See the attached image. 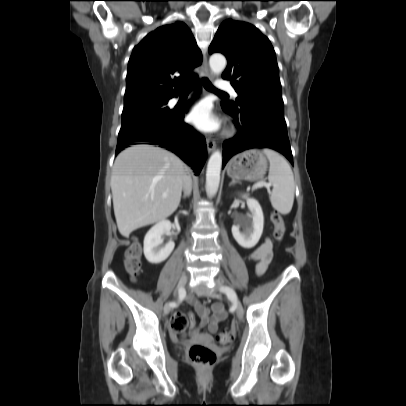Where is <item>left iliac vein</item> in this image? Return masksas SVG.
Instances as JSON below:
<instances>
[{
    "instance_id": "1",
    "label": "left iliac vein",
    "mask_w": 406,
    "mask_h": 406,
    "mask_svg": "<svg viewBox=\"0 0 406 406\" xmlns=\"http://www.w3.org/2000/svg\"><path fill=\"white\" fill-rule=\"evenodd\" d=\"M222 287H224V286L221 283H218L216 285V288H222ZM212 296H216V294H213ZM230 300L232 301V304L235 309L237 317L239 319H242L243 314H244V309H243V306H242L240 300L238 299V297L236 295L234 297H232Z\"/></svg>"
}]
</instances>
